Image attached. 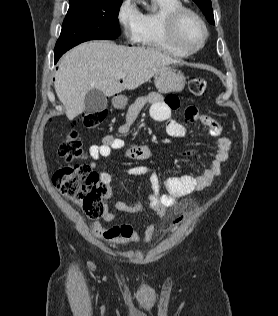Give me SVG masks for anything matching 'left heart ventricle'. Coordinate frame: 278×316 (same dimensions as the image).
<instances>
[{
	"label": "left heart ventricle",
	"instance_id": "1",
	"mask_svg": "<svg viewBox=\"0 0 278 316\" xmlns=\"http://www.w3.org/2000/svg\"><path fill=\"white\" fill-rule=\"evenodd\" d=\"M182 33L186 42L192 46H197L203 37L200 24L192 17H187L183 21Z\"/></svg>",
	"mask_w": 278,
	"mask_h": 316
}]
</instances>
